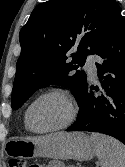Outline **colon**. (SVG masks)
<instances>
[{
  "label": "colon",
  "instance_id": "colon-1",
  "mask_svg": "<svg viewBox=\"0 0 125 167\" xmlns=\"http://www.w3.org/2000/svg\"><path fill=\"white\" fill-rule=\"evenodd\" d=\"M9 167H40V165L28 166L26 161L21 158H11L9 160Z\"/></svg>",
  "mask_w": 125,
  "mask_h": 167
}]
</instances>
